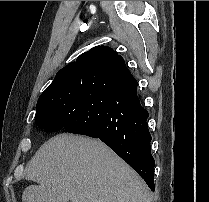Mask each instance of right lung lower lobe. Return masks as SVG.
Returning a JSON list of instances; mask_svg holds the SVG:
<instances>
[{"label": "right lung lower lobe", "instance_id": "98d812e1", "mask_svg": "<svg viewBox=\"0 0 209 202\" xmlns=\"http://www.w3.org/2000/svg\"><path fill=\"white\" fill-rule=\"evenodd\" d=\"M137 85L126 66L91 78L76 112L62 129L103 141L154 191L148 112L140 104Z\"/></svg>", "mask_w": 209, "mask_h": 202}]
</instances>
